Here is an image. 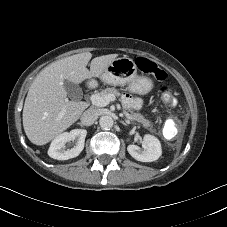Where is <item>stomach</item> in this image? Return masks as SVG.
<instances>
[{"instance_id": "stomach-1", "label": "stomach", "mask_w": 227, "mask_h": 227, "mask_svg": "<svg viewBox=\"0 0 227 227\" xmlns=\"http://www.w3.org/2000/svg\"><path fill=\"white\" fill-rule=\"evenodd\" d=\"M100 78L109 85L127 86L129 91L142 95L153 87L152 80L137 75L135 62L127 56L114 59Z\"/></svg>"}]
</instances>
